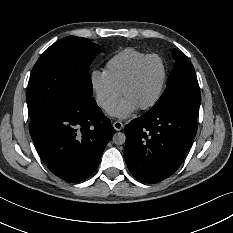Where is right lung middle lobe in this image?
<instances>
[{
	"label": "right lung middle lobe",
	"instance_id": "obj_1",
	"mask_svg": "<svg viewBox=\"0 0 233 233\" xmlns=\"http://www.w3.org/2000/svg\"><path fill=\"white\" fill-rule=\"evenodd\" d=\"M99 51V45L76 36L51 45L31 72L27 96L30 118L55 110L74 95H92L88 70Z\"/></svg>",
	"mask_w": 233,
	"mask_h": 233
}]
</instances>
